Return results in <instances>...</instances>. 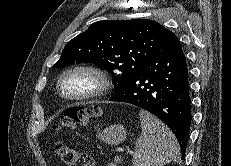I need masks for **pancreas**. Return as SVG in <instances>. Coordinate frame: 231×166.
Masks as SVG:
<instances>
[{
  "mask_svg": "<svg viewBox=\"0 0 231 166\" xmlns=\"http://www.w3.org/2000/svg\"><path fill=\"white\" fill-rule=\"evenodd\" d=\"M121 161H122V159H120V160L115 159V163H112V162L108 163L107 166H117V163H121Z\"/></svg>",
  "mask_w": 231,
  "mask_h": 166,
  "instance_id": "1",
  "label": "pancreas"
}]
</instances>
